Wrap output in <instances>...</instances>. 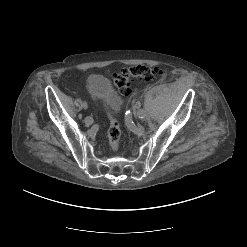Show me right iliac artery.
<instances>
[{
	"mask_svg": "<svg viewBox=\"0 0 247 247\" xmlns=\"http://www.w3.org/2000/svg\"><path fill=\"white\" fill-rule=\"evenodd\" d=\"M81 107H82L83 109H86V108L88 107V103H87L86 101H83V102L81 103Z\"/></svg>",
	"mask_w": 247,
	"mask_h": 247,
	"instance_id": "right-iliac-artery-1",
	"label": "right iliac artery"
}]
</instances>
